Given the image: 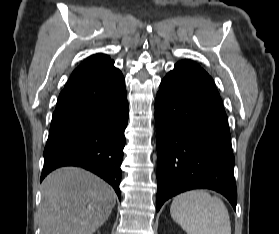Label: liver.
I'll return each instance as SVG.
<instances>
[{
  "label": "liver",
  "mask_w": 279,
  "mask_h": 234,
  "mask_svg": "<svg viewBox=\"0 0 279 234\" xmlns=\"http://www.w3.org/2000/svg\"><path fill=\"white\" fill-rule=\"evenodd\" d=\"M116 198L110 185L88 171L57 169L42 184L41 234H92L108 219Z\"/></svg>",
  "instance_id": "6515ba94"
}]
</instances>
